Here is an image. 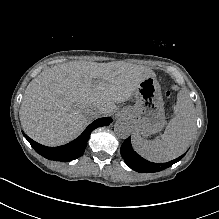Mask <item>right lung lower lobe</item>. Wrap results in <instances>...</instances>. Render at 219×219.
I'll return each mask as SVG.
<instances>
[{"mask_svg":"<svg viewBox=\"0 0 219 219\" xmlns=\"http://www.w3.org/2000/svg\"><path fill=\"white\" fill-rule=\"evenodd\" d=\"M111 122L112 119L109 117L97 119L92 122L77 139L59 147H46L33 141L27 135H23L31 144V146L35 149V151L43 157L54 161L67 162L79 158L83 155L85 147L87 145V141L90 137V133L95 128H98L100 126H107Z\"/></svg>","mask_w":219,"mask_h":219,"instance_id":"right-lung-lower-lobe-1","label":"right lung lower lobe"}]
</instances>
